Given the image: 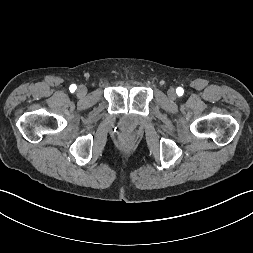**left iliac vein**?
Segmentation results:
<instances>
[{
	"mask_svg": "<svg viewBox=\"0 0 253 253\" xmlns=\"http://www.w3.org/2000/svg\"><path fill=\"white\" fill-rule=\"evenodd\" d=\"M168 96L171 98V99H175L176 98V92L173 88H170L167 92Z\"/></svg>",
	"mask_w": 253,
	"mask_h": 253,
	"instance_id": "4c4485c4",
	"label": "left iliac vein"
}]
</instances>
